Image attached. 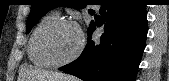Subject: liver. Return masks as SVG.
<instances>
[{
	"label": "liver",
	"mask_w": 169,
	"mask_h": 81,
	"mask_svg": "<svg viewBox=\"0 0 169 81\" xmlns=\"http://www.w3.org/2000/svg\"><path fill=\"white\" fill-rule=\"evenodd\" d=\"M24 78L26 81H76L74 77L64 73L25 68Z\"/></svg>",
	"instance_id": "obj_1"
}]
</instances>
